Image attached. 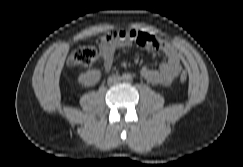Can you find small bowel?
<instances>
[{"mask_svg": "<svg viewBox=\"0 0 243 167\" xmlns=\"http://www.w3.org/2000/svg\"><path fill=\"white\" fill-rule=\"evenodd\" d=\"M124 37L116 44L100 47V56L103 67L110 71L113 67L115 53L118 49H126L138 46L148 52L160 51L166 56L157 69L143 66L140 75L153 85L169 86L181 73L183 66L177 49L169 42L159 39L156 36L138 29L121 31Z\"/></svg>", "mask_w": 243, "mask_h": 167, "instance_id": "c3829d8e", "label": "small bowel"}]
</instances>
